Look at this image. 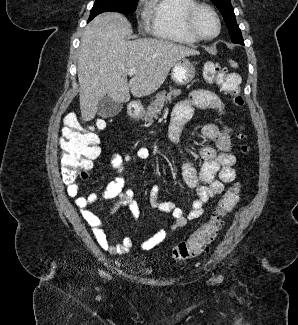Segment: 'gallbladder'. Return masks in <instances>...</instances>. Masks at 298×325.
Listing matches in <instances>:
<instances>
[{
  "mask_svg": "<svg viewBox=\"0 0 298 325\" xmlns=\"http://www.w3.org/2000/svg\"><path fill=\"white\" fill-rule=\"evenodd\" d=\"M120 110V104L114 102L110 96H103L97 104V114L102 118H108V116H116Z\"/></svg>",
  "mask_w": 298,
  "mask_h": 325,
  "instance_id": "bac80fb5",
  "label": "gallbladder"
}]
</instances>
